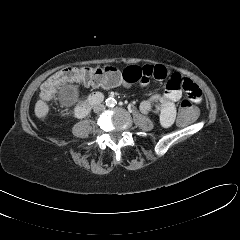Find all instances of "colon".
<instances>
[{"mask_svg":"<svg viewBox=\"0 0 240 240\" xmlns=\"http://www.w3.org/2000/svg\"><path fill=\"white\" fill-rule=\"evenodd\" d=\"M120 71L113 66L104 67H67L50 76L41 86V97L52 100L56 89L65 82H82L86 85L116 84L121 78ZM197 117L195 104L189 99H184L180 104L178 121L181 124H190Z\"/></svg>","mask_w":240,"mask_h":240,"instance_id":"obj_1","label":"colon"}]
</instances>
